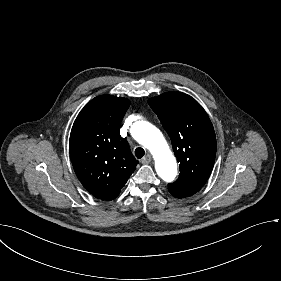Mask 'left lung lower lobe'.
<instances>
[{
    "label": "left lung lower lobe",
    "mask_w": 281,
    "mask_h": 281,
    "mask_svg": "<svg viewBox=\"0 0 281 281\" xmlns=\"http://www.w3.org/2000/svg\"><path fill=\"white\" fill-rule=\"evenodd\" d=\"M173 195V194H172ZM173 196H175V197H177V198H182L181 196H177V195H173Z\"/></svg>",
    "instance_id": "1"
}]
</instances>
